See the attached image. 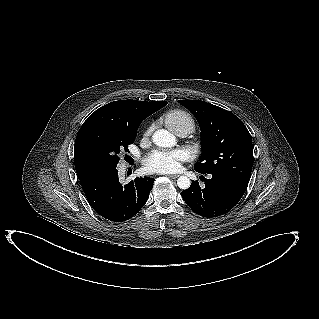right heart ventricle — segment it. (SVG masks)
I'll use <instances>...</instances> for the list:
<instances>
[{
  "mask_svg": "<svg viewBox=\"0 0 319 319\" xmlns=\"http://www.w3.org/2000/svg\"><path fill=\"white\" fill-rule=\"evenodd\" d=\"M167 127L175 133L185 131L191 133L194 130L195 123L189 113L184 110L169 111L164 118Z\"/></svg>",
  "mask_w": 319,
  "mask_h": 319,
  "instance_id": "e07e8e85",
  "label": "right heart ventricle"
}]
</instances>
